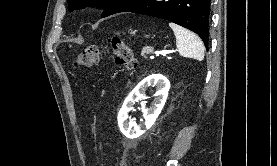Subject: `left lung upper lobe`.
Instances as JSON below:
<instances>
[{"instance_id": "left-lung-upper-lobe-1", "label": "left lung upper lobe", "mask_w": 277, "mask_h": 166, "mask_svg": "<svg viewBox=\"0 0 277 166\" xmlns=\"http://www.w3.org/2000/svg\"><path fill=\"white\" fill-rule=\"evenodd\" d=\"M69 4V10L81 9L87 6H98L105 8L102 13V17L122 12L129 8L139 0H67Z\"/></svg>"}]
</instances>
